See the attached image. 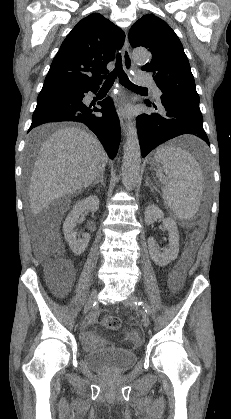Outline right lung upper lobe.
Returning a JSON list of instances; mask_svg holds the SVG:
<instances>
[{
    "mask_svg": "<svg viewBox=\"0 0 231 419\" xmlns=\"http://www.w3.org/2000/svg\"><path fill=\"white\" fill-rule=\"evenodd\" d=\"M124 32L101 14L82 19L63 41L43 87L60 85L80 89L101 84L107 63L124 42Z\"/></svg>",
    "mask_w": 231,
    "mask_h": 419,
    "instance_id": "obj_1",
    "label": "right lung upper lobe"
}]
</instances>
